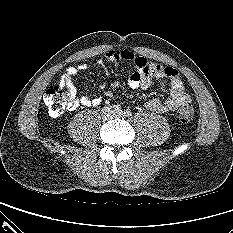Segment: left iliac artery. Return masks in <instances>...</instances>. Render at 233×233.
<instances>
[{
    "mask_svg": "<svg viewBox=\"0 0 233 233\" xmlns=\"http://www.w3.org/2000/svg\"><path fill=\"white\" fill-rule=\"evenodd\" d=\"M124 116L127 117V118H129V117L132 116V113H131L129 110H126V111L124 112Z\"/></svg>",
    "mask_w": 233,
    "mask_h": 233,
    "instance_id": "44dca946",
    "label": "left iliac artery"
}]
</instances>
